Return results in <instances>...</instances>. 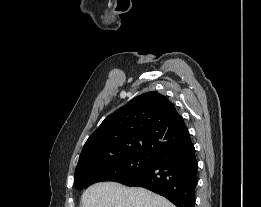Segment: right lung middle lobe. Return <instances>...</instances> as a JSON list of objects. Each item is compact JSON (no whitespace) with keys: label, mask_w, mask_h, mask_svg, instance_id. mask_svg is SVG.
<instances>
[{"label":"right lung middle lobe","mask_w":261,"mask_h":207,"mask_svg":"<svg viewBox=\"0 0 261 207\" xmlns=\"http://www.w3.org/2000/svg\"><path fill=\"white\" fill-rule=\"evenodd\" d=\"M151 161L149 156L127 155L87 164L76 169L74 186L80 190L97 182H119L144 170Z\"/></svg>","instance_id":"right-lung-middle-lobe-1"}]
</instances>
